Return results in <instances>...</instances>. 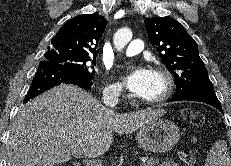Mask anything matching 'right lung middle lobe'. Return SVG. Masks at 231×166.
<instances>
[{"mask_svg": "<svg viewBox=\"0 0 231 166\" xmlns=\"http://www.w3.org/2000/svg\"><path fill=\"white\" fill-rule=\"evenodd\" d=\"M46 61H50L59 65L70 68L71 70L80 73L90 79L94 78L96 58L89 56L71 57V56H47ZM92 64V66L90 65Z\"/></svg>", "mask_w": 231, "mask_h": 166, "instance_id": "1", "label": "right lung middle lobe"}]
</instances>
